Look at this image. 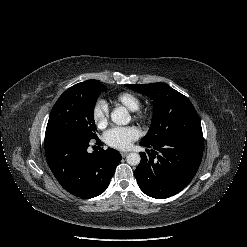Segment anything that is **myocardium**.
I'll list each match as a JSON object with an SVG mask.
<instances>
[{"label":"myocardium","mask_w":247,"mask_h":247,"mask_svg":"<svg viewBox=\"0 0 247 247\" xmlns=\"http://www.w3.org/2000/svg\"><path fill=\"white\" fill-rule=\"evenodd\" d=\"M133 116L137 120H142L145 118V114L139 109L133 111Z\"/></svg>","instance_id":"obj_1"}]
</instances>
